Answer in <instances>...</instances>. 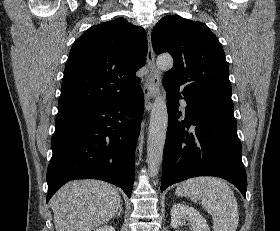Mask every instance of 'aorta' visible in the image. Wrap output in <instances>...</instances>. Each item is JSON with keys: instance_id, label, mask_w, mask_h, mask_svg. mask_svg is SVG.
<instances>
[{"instance_id": "762f6f07", "label": "aorta", "mask_w": 280, "mask_h": 231, "mask_svg": "<svg viewBox=\"0 0 280 231\" xmlns=\"http://www.w3.org/2000/svg\"><path fill=\"white\" fill-rule=\"evenodd\" d=\"M157 68L160 72H166L173 66V58L170 54H161L157 58ZM168 125V112L163 96H157L151 110L147 141V165L149 175L155 177L159 173L163 159V149Z\"/></svg>"}]
</instances>
